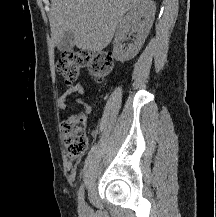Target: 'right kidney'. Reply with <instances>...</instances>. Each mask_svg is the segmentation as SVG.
I'll list each match as a JSON object with an SVG mask.
<instances>
[{"label":"right kidney","instance_id":"right-kidney-1","mask_svg":"<svg viewBox=\"0 0 216 217\" xmlns=\"http://www.w3.org/2000/svg\"><path fill=\"white\" fill-rule=\"evenodd\" d=\"M155 12L152 0H142L124 16L113 41V55L117 61L125 62L137 55L151 29ZM132 33H137L135 40L124 49L122 43L129 40Z\"/></svg>","mask_w":216,"mask_h":217}]
</instances>
